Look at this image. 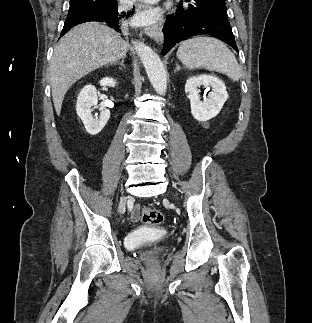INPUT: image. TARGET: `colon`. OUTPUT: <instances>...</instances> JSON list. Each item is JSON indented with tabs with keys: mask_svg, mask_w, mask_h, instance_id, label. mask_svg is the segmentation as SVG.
<instances>
[{
	"mask_svg": "<svg viewBox=\"0 0 312 323\" xmlns=\"http://www.w3.org/2000/svg\"><path fill=\"white\" fill-rule=\"evenodd\" d=\"M141 220L144 223L152 224V225H160L164 221V215L157 209H152L148 206L141 207ZM153 269L158 267L156 262L151 264Z\"/></svg>",
	"mask_w": 312,
	"mask_h": 323,
	"instance_id": "5ec220e1",
	"label": "colon"
}]
</instances>
